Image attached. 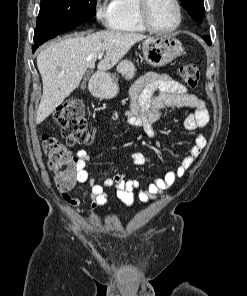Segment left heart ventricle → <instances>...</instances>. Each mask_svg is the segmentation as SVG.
I'll use <instances>...</instances> for the list:
<instances>
[{"label":"left heart ventricle","mask_w":247,"mask_h":296,"mask_svg":"<svg viewBox=\"0 0 247 296\" xmlns=\"http://www.w3.org/2000/svg\"><path fill=\"white\" fill-rule=\"evenodd\" d=\"M149 17L160 29L172 27L177 20L176 8L172 0H150Z\"/></svg>","instance_id":"b2bd125f"}]
</instances>
